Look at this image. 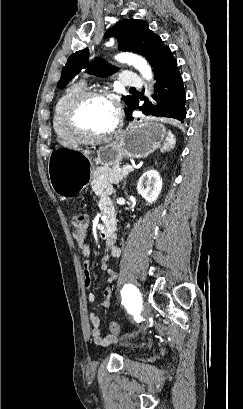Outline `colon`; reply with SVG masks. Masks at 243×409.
<instances>
[{"mask_svg":"<svg viewBox=\"0 0 243 409\" xmlns=\"http://www.w3.org/2000/svg\"><path fill=\"white\" fill-rule=\"evenodd\" d=\"M72 226L74 228V238L77 240L79 245H81L85 238L86 229L88 226V218L84 214H76L72 217ZM109 329L111 331V334L116 338H119L121 336L120 328L117 323L110 322Z\"/></svg>","mask_w":243,"mask_h":409,"instance_id":"obj_1","label":"colon"}]
</instances>
